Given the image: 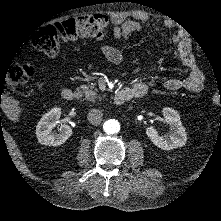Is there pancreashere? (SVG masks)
Masks as SVG:
<instances>
[{"mask_svg":"<svg viewBox=\"0 0 221 221\" xmlns=\"http://www.w3.org/2000/svg\"><path fill=\"white\" fill-rule=\"evenodd\" d=\"M76 91L84 96V100L90 101V102H95L96 99L99 98L97 95L96 89L94 88V84L91 85H81L76 89Z\"/></svg>","mask_w":221,"mask_h":221,"instance_id":"cf45deb5","label":"pancreas"}]
</instances>
